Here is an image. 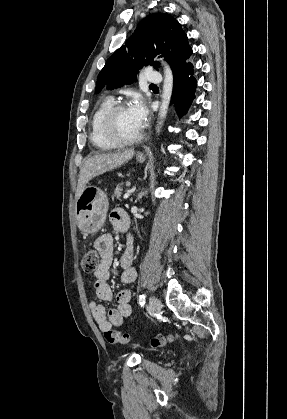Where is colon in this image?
Wrapping results in <instances>:
<instances>
[{"mask_svg": "<svg viewBox=\"0 0 287 419\" xmlns=\"http://www.w3.org/2000/svg\"><path fill=\"white\" fill-rule=\"evenodd\" d=\"M100 262L101 256L96 249H87L81 255V267L86 273L96 272ZM104 337L111 344H127L131 340L129 334L113 330L106 331ZM177 338V334L157 335L152 339L151 343L153 347H162L174 342Z\"/></svg>", "mask_w": 287, "mask_h": 419, "instance_id": "colon-1", "label": "colon"}]
</instances>
